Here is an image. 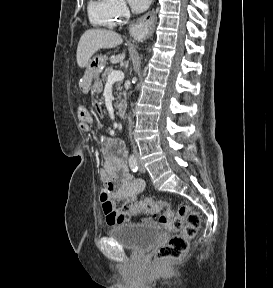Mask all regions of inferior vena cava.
<instances>
[{
	"label": "inferior vena cava",
	"mask_w": 273,
	"mask_h": 288,
	"mask_svg": "<svg viewBox=\"0 0 273 288\" xmlns=\"http://www.w3.org/2000/svg\"><path fill=\"white\" fill-rule=\"evenodd\" d=\"M128 121H129V136L133 145V151L134 153H137V147L134 145L133 141H132V131H131V117L128 116Z\"/></svg>",
	"instance_id": "inferior-vena-cava-1"
}]
</instances>
